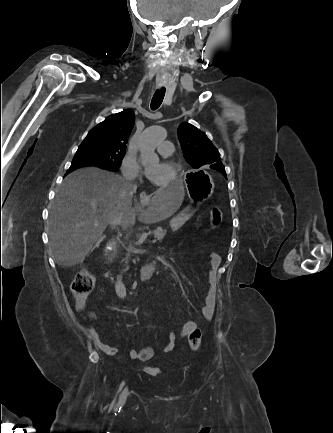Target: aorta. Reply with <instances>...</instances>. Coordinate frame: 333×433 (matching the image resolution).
<instances>
[{"label": "aorta", "mask_w": 333, "mask_h": 433, "mask_svg": "<svg viewBox=\"0 0 333 433\" xmlns=\"http://www.w3.org/2000/svg\"><path fill=\"white\" fill-rule=\"evenodd\" d=\"M166 138L167 131L161 126H153L145 129L140 146V159L144 166L157 165L159 163L155 148L159 143L165 141ZM134 250V246L130 243L127 249V257H129Z\"/></svg>", "instance_id": "1"}]
</instances>
